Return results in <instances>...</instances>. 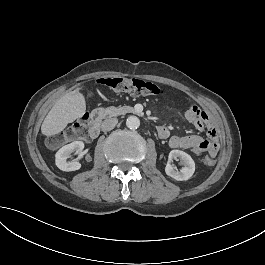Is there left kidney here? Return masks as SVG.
I'll return each instance as SVG.
<instances>
[{"instance_id": "left-kidney-1", "label": "left kidney", "mask_w": 265, "mask_h": 265, "mask_svg": "<svg viewBox=\"0 0 265 265\" xmlns=\"http://www.w3.org/2000/svg\"><path fill=\"white\" fill-rule=\"evenodd\" d=\"M173 157H179L184 164V167L181 168L180 172H177L173 170L171 165L168 164L165 167V174L169 178H173L177 181H188L189 179H191L193 177V174L195 173L196 168V164L192 157L188 153L179 149H173L170 151L169 158Z\"/></svg>"}]
</instances>
